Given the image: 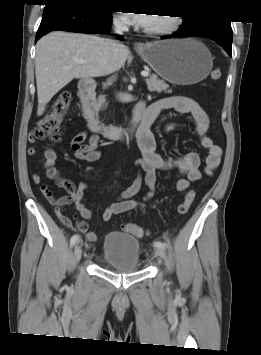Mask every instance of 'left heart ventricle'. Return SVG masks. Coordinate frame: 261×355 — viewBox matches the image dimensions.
I'll use <instances>...</instances> for the list:
<instances>
[{
	"instance_id": "obj_1",
	"label": "left heart ventricle",
	"mask_w": 261,
	"mask_h": 355,
	"mask_svg": "<svg viewBox=\"0 0 261 355\" xmlns=\"http://www.w3.org/2000/svg\"><path fill=\"white\" fill-rule=\"evenodd\" d=\"M168 21H169V17H167L166 15H157L151 18L149 24L147 25V28L152 29V28L161 27L167 24Z\"/></svg>"
}]
</instances>
